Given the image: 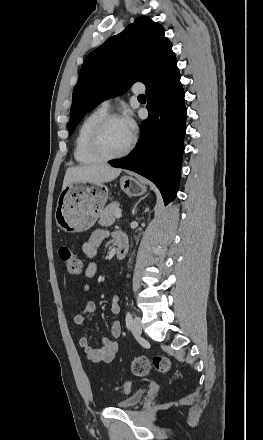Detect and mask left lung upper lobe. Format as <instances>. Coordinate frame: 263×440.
Returning a JSON list of instances; mask_svg holds the SVG:
<instances>
[{"instance_id": "obj_1", "label": "left lung upper lobe", "mask_w": 263, "mask_h": 440, "mask_svg": "<svg viewBox=\"0 0 263 440\" xmlns=\"http://www.w3.org/2000/svg\"><path fill=\"white\" fill-rule=\"evenodd\" d=\"M164 33L160 24L138 17L87 56L73 91L70 135L99 103L124 93L136 81L146 84L159 69L176 60Z\"/></svg>"}]
</instances>
